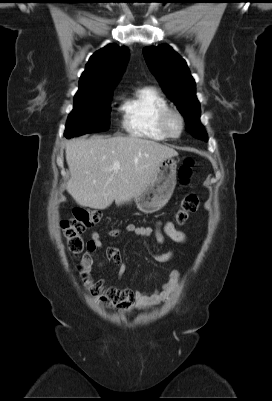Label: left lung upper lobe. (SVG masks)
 Masks as SVG:
<instances>
[{
    "mask_svg": "<svg viewBox=\"0 0 272 401\" xmlns=\"http://www.w3.org/2000/svg\"><path fill=\"white\" fill-rule=\"evenodd\" d=\"M143 54L164 92L185 117L188 132L196 138L208 141L207 133L200 122V104L196 97L195 81L185 60L169 45L145 47Z\"/></svg>",
    "mask_w": 272,
    "mask_h": 401,
    "instance_id": "5c2ea615",
    "label": "left lung upper lobe"
}]
</instances>
